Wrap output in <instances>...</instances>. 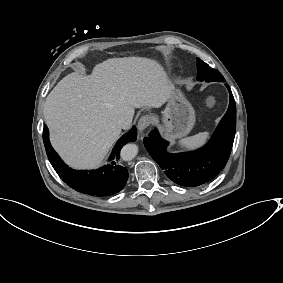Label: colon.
I'll use <instances>...</instances> for the list:
<instances>
[{"label":"colon","mask_w":283,"mask_h":283,"mask_svg":"<svg viewBox=\"0 0 283 283\" xmlns=\"http://www.w3.org/2000/svg\"><path fill=\"white\" fill-rule=\"evenodd\" d=\"M215 102H216V99H215V97H214L213 95H209V96L207 97V103H208V105L212 106V105L215 104Z\"/></svg>","instance_id":"colon-1"}]
</instances>
